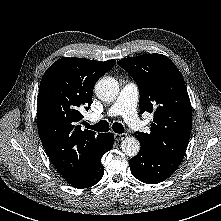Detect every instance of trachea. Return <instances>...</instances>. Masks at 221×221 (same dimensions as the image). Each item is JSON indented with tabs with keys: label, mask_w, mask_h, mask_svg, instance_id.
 Returning <instances> with one entry per match:
<instances>
[{
	"label": "trachea",
	"mask_w": 221,
	"mask_h": 221,
	"mask_svg": "<svg viewBox=\"0 0 221 221\" xmlns=\"http://www.w3.org/2000/svg\"><path fill=\"white\" fill-rule=\"evenodd\" d=\"M86 127L98 132H108L109 131V124L106 120H101L100 122L96 123L95 125L86 124ZM112 129L114 132L118 134L124 133V127L121 123H114L112 125Z\"/></svg>",
	"instance_id": "3493384b"
}]
</instances>
